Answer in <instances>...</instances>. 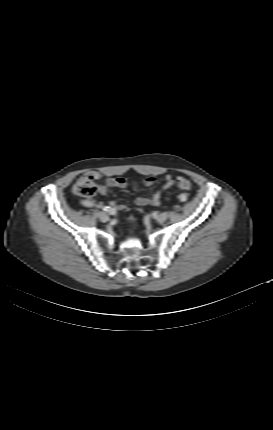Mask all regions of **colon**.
Instances as JSON below:
<instances>
[{
	"instance_id": "5ec220e1",
	"label": "colon",
	"mask_w": 273,
	"mask_h": 430,
	"mask_svg": "<svg viewBox=\"0 0 273 430\" xmlns=\"http://www.w3.org/2000/svg\"><path fill=\"white\" fill-rule=\"evenodd\" d=\"M192 188V185L188 181H182L180 184V189L184 191H188ZM98 192V185L95 182V179L90 173H86L81 175L73 186V193L79 197H93ZM181 199H186V195H179L178 197Z\"/></svg>"
}]
</instances>
